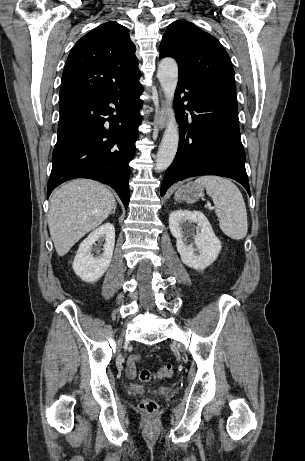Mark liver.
Segmentation results:
<instances>
[{
  "label": "liver",
  "mask_w": 305,
  "mask_h": 461,
  "mask_svg": "<svg viewBox=\"0 0 305 461\" xmlns=\"http://www.w3.org/2000/svg\"><path fill=\"white\" fill-rule=\"evenodd\" d=\"M115 207L111 191L96 181L77 179L59 188L51 197L48 215L49 231L57 254H67Z\"/></svg>",
  "instance_id": "liver-1"
}]
</instances>
